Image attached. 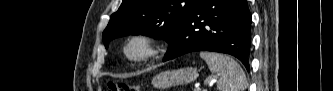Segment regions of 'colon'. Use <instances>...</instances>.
Instances as JSON below:
<instances>
[{
  "label": "colon",
  "instance_id": "colon-1",
  "mask_svg": "<svg viewBox=\"0 0 333 91\" xmlns=\"http://www.w3.org/2000/svg\"><path fill=\"white\" fill-rule=\"evenodd\" d=\"M108 90L109 91H138L137 86L128 85L126 83H114L110 82L108 84Z\"/></svg>",
  "mask_w": 333,
  "mask_h": 91
}]
</instances>
